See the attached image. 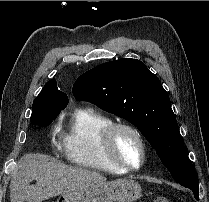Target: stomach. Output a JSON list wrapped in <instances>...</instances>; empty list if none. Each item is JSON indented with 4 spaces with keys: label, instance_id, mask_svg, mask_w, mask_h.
Returning <instances> with one entry per match:
<instances>
[{
    "label": "stomach",
    "instance_id": "stomach-1",
    "mask_svg": "<svg viewBox=\"0 0 209 202\" xmlns=\"http://www.w3.org/2000/svg\"><path fill=\"white\" fill-rule=\"evenodd\" d=\"M142 196L139 183L130 179L103 181L62 194L56 202H134Z\"/></svg>",
    "mask_w": 209,
    "mask_h": 202
}]
</instances>
